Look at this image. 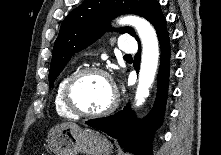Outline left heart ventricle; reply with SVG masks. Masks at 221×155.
I'll return each mask as SVG.
<instances>
[{
	"mask_svg": "<svg viewBox=\"0 0 221 155\" xmlns=\"http://www.w3.org/2000/svg\"><path fill=\"white\" fill-rule=\"evenodd\" d=\"M72 96L80 109L86 112H98L111 103L113 87L104 76L90 74L78 81Z\"/></svg>",
	"mask_w": 221,
	"mask_h": 155,
	"instance_id": "left-heart-ventricle-1",
	"label": "left heart ventricle"
}]
</instances>
